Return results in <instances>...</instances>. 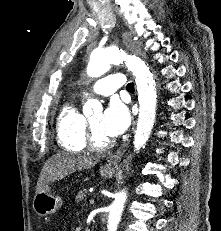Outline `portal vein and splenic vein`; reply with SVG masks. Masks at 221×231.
Returning <instances> with one entry per match:
<instances>
[{
    "label": "portal vein and splenic vein",
    "mask_w": 221,
    "mask_h": 231,
    "mask_svg": "<svg viewBox=\"0 0 221 231\" xmlns=\"http://www.w3.org/2000/svg\"><path fill=\"white\" fill-rule=\"evenodd\" d=\"M94 202H95L94 198H90V199H89V203H90V204H94Z\"/></svg>",
    "instance_id": "1"
}]
</instances>
